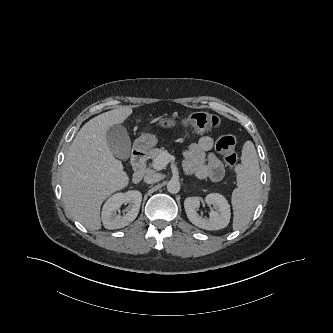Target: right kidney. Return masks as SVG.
<instances>
[{
  "label": "right kidney",
  "mask_w": 333,
  "mask_h": 333,
  "mask_svg": "<svg viewBox=\"0 0 333 333\" xmlns=\"http://www.w3.org/2000/svg\"><path fill=\"white\" fill-rule=\"evenodd\" d=\"M142 194L132 190L112 195L102 209V222L106 229H119L133 222L139 212ZM129 204L123 215L117 214L122 204Z\"/></svg>",
  "instance_id": "right-kidney-1"
}]
</instances>
